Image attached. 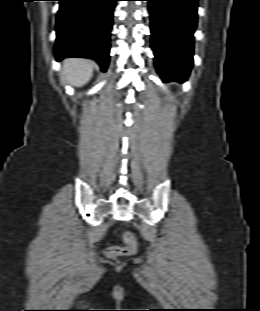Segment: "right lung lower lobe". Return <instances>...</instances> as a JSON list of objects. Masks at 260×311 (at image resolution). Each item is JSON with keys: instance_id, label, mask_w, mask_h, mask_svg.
Segmentation results:
<instances>
[{"instance_id": "right-lung-lower-lobe-1", "label": "right lung lower lobe", "mask_w": 260, "mask_h": 311, "mask_svg": "<svg viewBox=\"0 0 260 311\" xmlns=\"http://www.w3.org/2000/svg\"><path fill=\"white\" fill-rule=\"evenodd\" d=\"M55 56L96 60L102 71L109 62L110 31L116 0H58Z\"/></svg>"}]
</instances>
